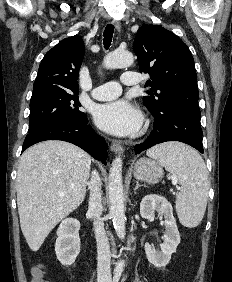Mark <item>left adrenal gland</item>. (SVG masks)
Returning <instances> with one entry per match:
<instances>
[{
	"label": "left adrenal gland",
	"mask_w": 232,
	"mask_h": 282,
	"mask_svg": "<svg viewBox=\"0 0 232 282\" xmlns=\"http://www.w3.org/2000/svg\"><path fill=\"white\" fill-rule=\"evenodd\" d=\"M141 186H143V185H140L139 182L137 181V182H136V187L134 188V192H135L139 187H141ZM144 187H145V185H144Z\"/></svg>",
	"instance_id": "obj_1"
}]
</instances>
